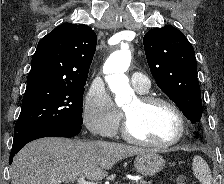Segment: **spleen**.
I'll use <instances>...</instances> for the list:
<instances>
[{"label":"spleen","instance_id":"obj_1","mask_svg":"<svg viewBox=\"0 0 224 184\" xmlns=\"http://www.w3.org/2000/svg\"><path fill=\"white\" fill-rule=\"evenodd\" d=\"M192 169L195 177L200 181L201 184H211V171L203 158L198 155L194 156Z\"/></svg>","mask_w":224,"mask_h":184}]
</instances>
